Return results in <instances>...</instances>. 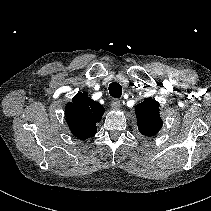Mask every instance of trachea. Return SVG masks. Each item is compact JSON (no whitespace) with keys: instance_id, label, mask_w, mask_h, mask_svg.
<instances>
[{"instance_id":"trachea-1","label":"trachea","mask_w":211,"mask_h":211,"mask_svg":"<svg viewBox=\"0 0 211 211\" xmlns=\"http://www.w3.org/2000/svg\"><path fill=\"white\" fill-rule=\"evenodd\" d=\"M109 93L113 98H120L122 95V87L119 83L113 82L109 85Z\"/></svg>"}]
</instances>
